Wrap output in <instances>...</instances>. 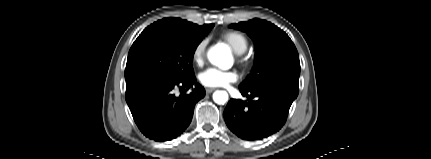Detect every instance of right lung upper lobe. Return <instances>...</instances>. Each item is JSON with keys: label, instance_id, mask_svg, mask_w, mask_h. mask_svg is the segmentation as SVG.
Returning <instances> with one entry per match:
<instances>
[{"label": "right lung upper lobe", "instance_id": "obj_1", "mask_svg": "<svg viewBox=\"0 0 431 159\" xmlns=\"http://www.w3.org/2000/svg\"><path fill=\"white\" fill-rule=\"evenodd\" d=\"M157 22L164 23L173 27H177L179 29H182L184 31H187L195 35L202 34L203 32L207 31L210 26V24L199 26L197 24H193L186 20H182L180 18H173V17L164 18L162 20H158Z\"/></svg>", "mask_w": 431, "mask_h": 159}]
</instances>
